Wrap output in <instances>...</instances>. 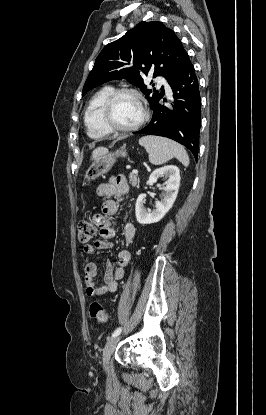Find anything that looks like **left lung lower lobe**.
<instances>
[{"mask_svg": "<svg viewBox=\"0 0 266 415\" xmlns=\"http://www.w3.org/2000/svg\"><path fill=\"white\" fill-rule=\"evenodd\" d=\"M172 108L158 104L150 123L134 132L170 138L187 147L197 159L201 125V98L198 78L189 57L170 83Z\"/></svg>", "mask_w": 266, "mask_h": 415, "instance_id": "left-lung-lower-lobe-1", "label": "left lung lower lobe"}]
</instances>
